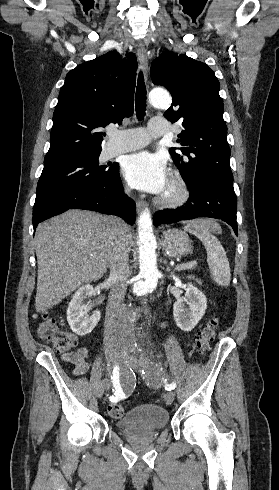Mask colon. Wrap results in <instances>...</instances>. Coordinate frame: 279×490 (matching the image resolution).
<instances>
[{
  "instance_id": "obj_1",
  "label": "colon",
  "mask_w": 279,
  "mask_h": 490,
  "mask_svg": "<svg viewBox=\"0 0 279 490\" xmlns=\"http://www.w3.org/2000/svg\"><path fill=\"white\" fill-rule=\"evenodd\" d=\"M219 324V319L213 318L208 321L199 333L196 340V348L199 355L204 356L208 352L209 345L216 335ZM37 334L43 341L51 344L56 351L61 353H69L70 347H76L78 341L73 335L63 332L49 314L43 315L42 321L37 327ZM124 411L125 409L121 404L114 403L108 407L109 415L114 418L121 417Z\"/></svg>"
}]
</instances>
